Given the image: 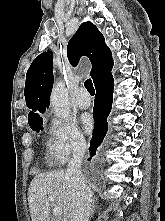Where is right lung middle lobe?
<instances>
[{"instance_id":"dd1d6c3e","label":"right lung middle lobe","mask_w":165,"mask_h":221,"mask_svg":"<svg viewBox=\"0 0 165 221\" xmlns=\"http://www.w3.org/2000/svg\"><path fill=\"white\" fill-rule=\"evenodd\" d=\"M42 124H43L42 118H37L35 120L29 121L30 127L37 132H39L40 130H43Z\"/></svg>"}]
</instances>
